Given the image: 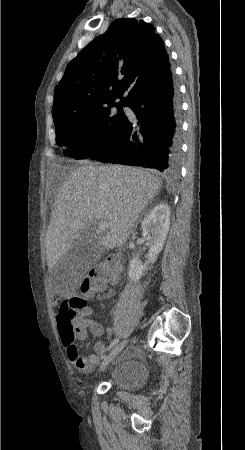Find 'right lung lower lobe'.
Segmentation results:
<instances>
[{
    "label": "right lung lower lobe",
    "mask_w": 245,
    "mask_h": 450,
    "mask_svg": "<svg viewBox=\"0 0 245 450\" xmlns=\"http://www.w3.org/2000/svg\"><path fill=\"white\" fill-rule=\"evenodd\" d=\"M138 122L126 119L117 139L89 156L102 162L178 173L181 161L180 103L170 68L127 104Z\"/></svg>",
    "instance_id": "right-lung-lower-lobe-1"
}]
</instances>
